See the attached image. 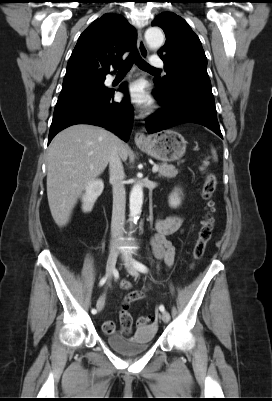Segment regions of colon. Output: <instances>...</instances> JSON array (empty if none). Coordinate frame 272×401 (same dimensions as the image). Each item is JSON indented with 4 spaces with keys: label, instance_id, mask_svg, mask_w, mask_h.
Here are the masks:
<instances>
[{
    "label": "colon",
    "instance_id": "1",
    "mask_svg": "<svg viewBox=\"0 0 272 401\" xmlns=\"http://www.w3.org/2000/svg\"><path fill=\"white\" fill-rule=\"evenodd\" d=\"M217 180L214 174L208 172L205 174L204 182L202 185V198L205 201L206 213L201 222V227L198 234V239L193 250V257L195 260L203 256L207 243L210 241L215 226V204L213 195L216 190ZM152 322L149 316H141L137 319L139 327L148 326Z\"/></svg>",
    "mask_w": 272,
    "mask_h": 401
}]
</instances>
